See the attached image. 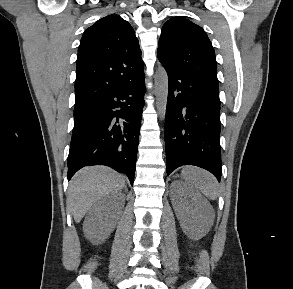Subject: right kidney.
<instances>
[{
    "mask_svg": "<svg viewBox=\"0 0 293 289\" xmlns=\"http://www.w3.org/2000/svg\"><path fill=\"white\" fill-rule=\"evenodd\" d=\"M124 195H111L90 208L84 224L85 236L94 243L105 240L115 228L124 206Z\"/></svg>",
    "mask_w": 293,
    "mask_h": 289,
    "instance_id": "1",
    "label": "right kidney"
}]
</instances>
